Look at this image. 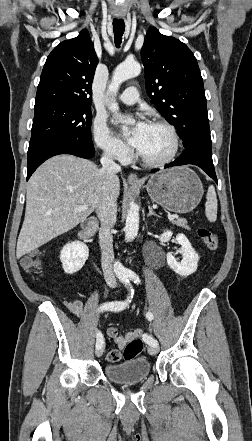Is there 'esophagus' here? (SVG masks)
I'll list each match as a JSON object with an SVG mask.
<instances>
[{"label": "esophagus", "mask_w": 252, "mask_h": 441, "mask_svg": "<svg viewBox=\"0 0 252 441\" xmlns=\"http://www.w3.org/2000/svg\"><path fill=\"white\" fill-rule=\"evenodd\" d=\"M128 181L129 182H132V183H139V179H138V177H137V175L135 174V173H130L129 175H128Z\"/></svg>", "instance_id": "obj_1"}]
</instances>
